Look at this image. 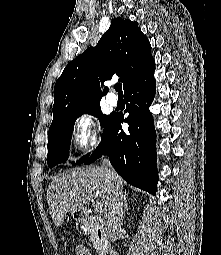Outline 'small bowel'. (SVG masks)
Returning a JSON list of instances; mask_svg holds the SVG:
<instances>
[{"label": "small bowel", "instance_id": "c3829d8e", "mask_svg": "<svg viewBox=\"0 0 221 255\" xmlns=\"http://www.w3.org/2000/svg\"><path fill=\"white\" fill-rule=\"evenodd\" d=\"M75 253L76 255H92L90 250L82 244H77L75 246Z\"/></svg>", "mask_w": 221, "mask_h": 255}]
</instances>
